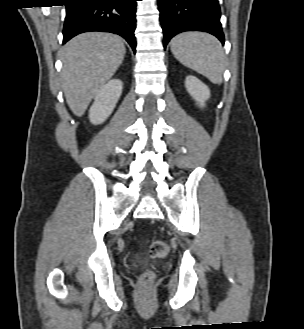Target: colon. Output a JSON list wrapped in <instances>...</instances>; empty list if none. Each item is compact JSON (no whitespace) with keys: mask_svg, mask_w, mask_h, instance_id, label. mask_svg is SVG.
Listing matches in <instances>:
<instances>
[{"mask_svg":"<svg viewBox=\"0 0 304 329\" xmlns=\"http://www.w3.org/2000/svg\"><path fill=\"white\" fill-rule=\"evenodd\" d=\"M147 251L152 257L162 259L168 255L169 248L166 242L155 240L147 245ZM154 277L153 271L146 270L141 274L139 281L142 285H148L153 282Z\"/></svg>","mask_w":304,"mask_h":329,"instance_id":"colon-1","label":"colon"}]
</instances>
